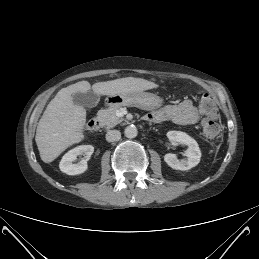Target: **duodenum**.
<instances>
[{"label": "duodenum", "mask_w": 259, "mask_h": 259, "mask_svg": "<svg viewBox=\"0 0 259 259\" xmlns=\"http://www.w3.org/2000/svg\"><path fill=\"white\" fill-rule=\"evenodd\" d=\"M101 123L99 118L95 117L88 122V129L91 132H96L100 129Z\"/></svg>", "instance_id": "duodenum-1"}]
</instances>
